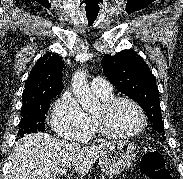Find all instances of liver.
<instances>
[{
  "label": "liver",
  "mask_w": 183,
  "mask_h": 179,
  "mask_svg": "<svg viewBox=\"0 0 183 179\" xmlns=\"http://www.w3.org/2000/svg\"><path fill=\"white\" fill-rule=\"evenodd\" d=\"M109 145L73 146L46 133H31L16 142L5 179H57L60 170L72 166L83 179Z\"/></svg>",
  "instance_id": "6515ba94"
}]
</instances>
